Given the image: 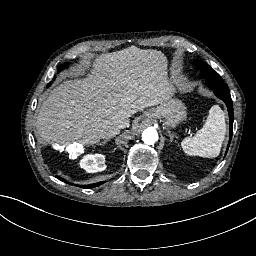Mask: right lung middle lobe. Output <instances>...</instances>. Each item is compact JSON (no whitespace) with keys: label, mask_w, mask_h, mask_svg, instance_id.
I'll use <instances>...</instances> for the list:
<instances>
[{"label":"right lung middle lobe","mask_w":256,"mask_h":256,"mask_svg":"<svg viewBox=\"0 0 256 256\" xmlns=\"http://www.w3.org/2000/svg\"><path fill=\"white\" fill-rule=\"evenodd\" d=\"M67 67V63H64L63 65H60L59 67H58V71H61V70H63L64 68H66ZM50 84L51 83H49L47 86H50Z\"/></svg>","instance_id":"1"}]
</instances>
